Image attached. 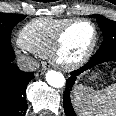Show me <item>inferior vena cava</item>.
Returning <instances> with one entry per match:
<instances>
[{"label":"inferior vena cava","instance_id":"obj_1","mask_svg":"<svg viewBox=\"0 0 116 116\" xmlns=\"http://www.w3.org/2000/svg\"><path fill=\"white\" fill-rule=\"evenodd\" d=\"M18 66L23 71H35L39 68V64L32 58L20 57L17 60Z\"/></svg>","mask_w":116,"mask_h":116}]
</instances>
